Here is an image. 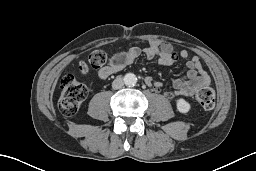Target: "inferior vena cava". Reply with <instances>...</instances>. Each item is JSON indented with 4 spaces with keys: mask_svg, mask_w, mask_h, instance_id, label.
Segmentation results:
<instances>
[{
    "mask_svg": "<svg viewBox=\"0 0 256 171\" xmlns=\"http://www.w3.org/2000/svg\"><path fill=\"white\" fill-rule=\"evenodd\" d=\"M124 85V80L122 77L118 76L116 77V79L113 81L112 83V88L117 90V89H120L122 88Z\"/></svg>",
    "mask_w": 256,
    "mask_h": 171,
    "instance_id": "1",
    "label": "inferior vena cava"
}]
</instances>
